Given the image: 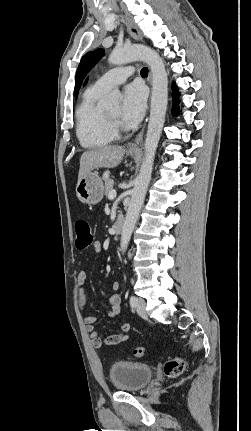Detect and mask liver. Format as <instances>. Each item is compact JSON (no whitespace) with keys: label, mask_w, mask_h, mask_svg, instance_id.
<instances>
[{"label":"liver","mask_w":251,"mask_h":431,"mask_svg":"<svg viewBox=\"0 0 251 431\" xmlns=\"http://www.w3.org/2000/svg\"><path fill=\"white\" fill-rule=\"evenodd\" d=\"M125 154V148L117 145H107L85 151L80 158L78 181L88 173L98 168H114L118 166Z\"/></svg>","instance_id":"obj_1"}]
</instances>
